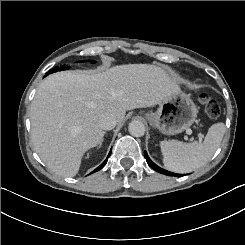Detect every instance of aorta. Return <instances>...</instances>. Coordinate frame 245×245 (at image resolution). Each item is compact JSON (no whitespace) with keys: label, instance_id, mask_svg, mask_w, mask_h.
<instances>
[{"label":"aorta","instance_id":"762f6f07","mask_svg":"<svg viewBox=\"0 0 245 245\" xmlns=\"http://www.w3.org/2000/svg\"><path fill=\"white\" fill-rule=\"evenodd\" d=\"M128 131L134 137H141L145 134V126L142 122L134 120L130 122Z\"/></svg>","mask_w":245,"mask_h":245}]
</instances>
